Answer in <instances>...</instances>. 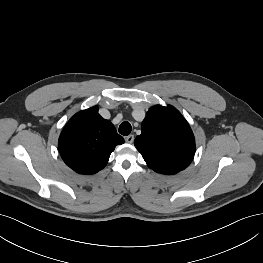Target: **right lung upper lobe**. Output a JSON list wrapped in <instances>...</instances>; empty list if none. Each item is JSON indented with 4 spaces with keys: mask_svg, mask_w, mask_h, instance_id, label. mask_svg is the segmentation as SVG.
Instances as JSON below:
<instances>
[{
    "mask_svg": "<svg viewBox=\"0 0 263 263\" xmlns=\"http://www.w3.org/2000/svg\"><path fill=\"white\" fill-rule=\"evenodd\" d=\"M124 143L114 125L98 114L94 106L75 114L59 137V151L64 162L80 174H94L103 169L115 147Z\"/></svg>",
    "mask_w": 263,
    "mask_h": 263,
    "instance_id": "obj_1",
    "label": "right lung upper lobe"
}]
</instances>
